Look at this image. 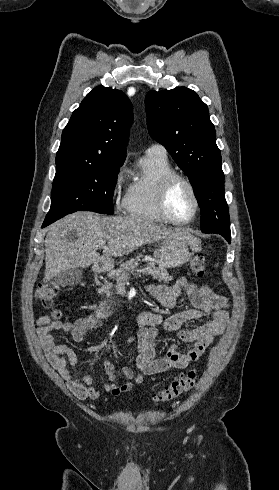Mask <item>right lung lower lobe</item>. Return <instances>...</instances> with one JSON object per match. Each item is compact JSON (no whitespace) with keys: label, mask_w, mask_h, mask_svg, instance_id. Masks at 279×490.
<instances>
[{"label":"right lung lower lobe","mask_w":279,"mask_h":490,"mask_svg":"<svg viewBox=\"0 0 279 490\" xmlns=\"http://www.w3.org/2000/svg\"><path fill=\"white\" fill-rule=\"evenodd\" d=\"M49 224H46V223H43L42 227H46L48 226Z\"/></svg>","instance_id":"98d812e1"}]
</instances>
